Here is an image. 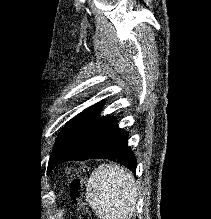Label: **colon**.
<instances>
[{
  "label": "colon",
  "instance_id": "1",
  "mask_svg": "<svg viewBox=\"0 0 211 219\" xmlns=\"http://www.w3.org/2000/svg\"><path fill=\"white\" fill-rule=\"evenodd\" d=\"M82 185H83V182L79 178L75 179L72 182L71 189L73 192V199L78 205V212H79L80 219H92L89 209L85 207L80 201V190L82 188Z\"/></svg>",
  "mask_w": 211,
  "mask_h": 219
}]
</instances>
